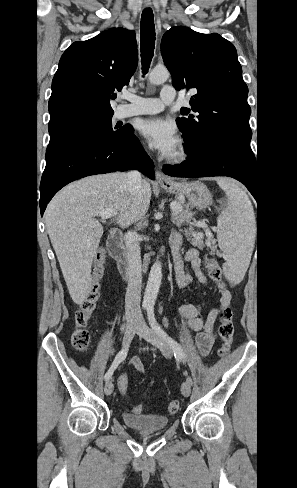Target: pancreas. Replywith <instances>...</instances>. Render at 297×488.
<instances>
[{
	"label": "pancreas",
	"instance_id": "pancreas-1",
	"mask_svg": "<svg viewBox=\"0 0 297 488\" xmlns=\"http://www.w3.org/2000/svg\"><path fill=\"white\" fill-rule=\"evenodd\" d=\"M172 203L178 204L181 207L180 210H174L173 211V214H172L173 223L176 224L177 226H181V224L188 222L190 224L189 231L193 237L192 241L196 245H199L200 242L197 240L198 235L193 231V227H192L193 225L196 224V221L194 220V222H191V220L193 219V213L191 212L190 206L187 205L184 209L182 202H176L175 201Z\"/></svg>",
	"mask_w": 297,
	"mask_h": 488
}]
</instances>
